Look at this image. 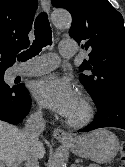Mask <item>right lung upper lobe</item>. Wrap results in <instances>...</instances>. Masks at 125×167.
<instances>
[{"label":"right lung upper lobe","mask_w":125,"mask_h":167,"mask_svg":"<svg viewBox=\"0 0 125 167\" xmlns=\"http://www.w3.org/2000/svg\"><path fill=\"white\" fill-rule=\"evenodd\" d=\"M38 0H0V72L15 63V55L29 45Z\"/></svg>","instance_id":"1"}]
</instances>
